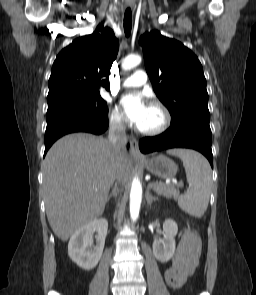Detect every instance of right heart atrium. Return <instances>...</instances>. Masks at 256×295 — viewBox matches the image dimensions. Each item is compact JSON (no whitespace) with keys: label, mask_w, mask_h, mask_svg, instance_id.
Instances as JSON below:
<instances>
[{"label":"right heart atrium","mask_w":256,"mask_h":295,"mask_svg":"<svg viewBox=\"0 0 256 295\" xmlns=\"http://www.w3.org/2000/svg\"><path fill=\"white\" fill-rule=\"evenodd\" d=\"M109 121L111 126L117 130H123L125 128V119L117 108H113L110 111Z\"/></svg>","instance_id":"d8ad5b80"}]
</instances>
